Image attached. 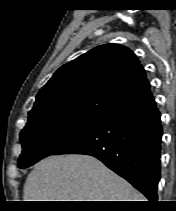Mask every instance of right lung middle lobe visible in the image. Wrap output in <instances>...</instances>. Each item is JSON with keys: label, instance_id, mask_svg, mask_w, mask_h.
<instances>
[{"label": "right lung middle lobe", "instance_id": "right-lung-middle-lobe-1", "mask_svg": "<svg viewBox=\"0 0 176 211\" xmlns=\"http://www.w3.org/2000/svg\"><path fill=\"white\" fill-rule=\"evenodd\" d=\"M102 119L67 110H47L29 115L27 125L20 133L23 151L19 158V168H27L54 154Z\"/></svg>", "mask_w": 176, "mask_h": 211}]
</instances>
